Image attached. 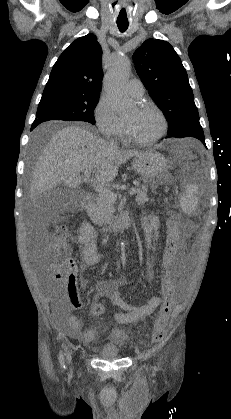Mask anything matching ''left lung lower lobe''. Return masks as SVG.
<instances>
[{"instance_id": "obj_1", "label": "left lung lower lobe", "mask_w": 231, "mask_h": 419, "mask_svg": "<svg viewBox=\"0 0 231 419\" xmlns=\"http://www.w3.org/2000/svg\"><path fill=\"white\" fill-rule=\"evenodd\" d=\"M167 137H176V138H183V137H194L199 139L205 146V138H204V132L202 130V127L200 128H189L187 130H184L180 133L174 134V135H168Z\"/></svg>"}]
</instances>
